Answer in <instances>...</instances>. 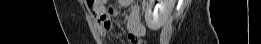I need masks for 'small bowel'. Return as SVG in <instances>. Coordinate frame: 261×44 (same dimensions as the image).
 I'll return each mask as SVG.
<instances>
[{
    "mask_svg": "<svg viewBox=\"0 0 261 44\" xmlns=\"http://www.w3.org/2000/svg\"><path fill=\"white\" fill-rule=\"evenodd\" d=\"M131 4V1L120 0L116 7L108 8L105 4H97L93 6L94 18L97 21L99 32L101 35H107L113 29V23L110 15L116 16L120 9ZM127 38L130 43H136L145 34V26L141 21L140 6L136 3L132 4L130 14L126 23Z\"/></svg>",
    "mask_w": 261,
    "mask_h": 44,
    "instance_id": "1",
    "label": "small bowel"
}]
</instances>
